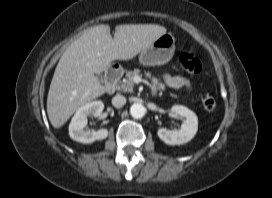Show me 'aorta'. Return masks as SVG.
<instances>
[{
  "instance_id": "762f6f07",
  "label": "aorta",
  "mask_w": 272,
  "mask_h": 198,
  "mask_svg": "<svg viewBox=\"0 0 272 198\" xmlns=\"http://www.w3.org/2000/svg\"><path fill=\"white\" fill-rule=\"evenodd\" d=\"M145 107L140 103H134L130 107V114L135 119H140L145 115Z\"/></svg>"
}]
</instances>
